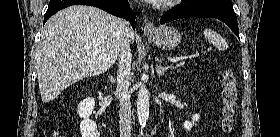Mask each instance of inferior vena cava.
<instances>
[{"label": "inferior vena cava", "instance_id": "inferior-vena-cava-1", "mask_svg": "<svg viewBox=\"0 0 280 137\" xmlns=\"http://www.w3.org/2000/svg\"><path fill=\"white\" fill-rule=\"evenodd\" d=\"M125 28V36L120 48L119 69L117 74V89L119 95L120 110H119V131L120 137H130L132 128L131 118V102L129 95L130 85V70H131V49L129 37L132 33L129 23L123 21Z\"/></svg>", "mask_w": 280, "mask_h": 137}]
</instances>
